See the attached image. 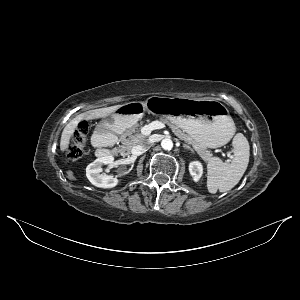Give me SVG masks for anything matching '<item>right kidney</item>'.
<instances>
[{"mask_svg": "<svg viewBox=\"0 0 300 300\" xmlns=\"http://www.w3.org/2000/svg\"><path fill=\"white\" fill-rule=\"evenodd\" d=\"M114 158L111 155L99 157L90 163L86 168V176L88 180L96 187L113 188L120 180L107 174H100L102 172V165L113 164Z\"/></svg>", "mask_w": 300, "mask_h": 300, "instance_id": "1", "label": "right kidney"}]
</instances>
